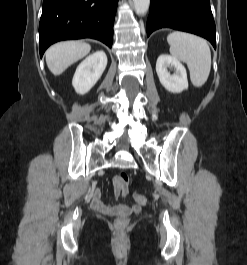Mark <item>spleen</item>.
<instances>
[{"label":"spleen","instance_id":"spleen-1","mask_svg":"<svg viewBox=\"0 0 247 265\" xmlns=\"http://www.w3.org/2000/svg\"><path fill=\"white\" fill-rule=\"evenodd\" d=\"M171 55L185 62L195 87H202L211 69V52L205 39L189 33L175 31L167 37Z\"/></svg>","mask_w":247,"mask_h":265}]
</instances>
